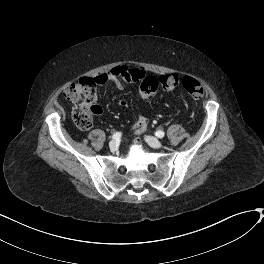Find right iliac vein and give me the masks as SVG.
<instances>
[{
  "instance_id": "right-iliac-vein-1",
  "label": "right iliac vein",
  "mask_w": 264,
  "mask_h": 264,
  "mask_svg": "<svg viewBox=\"0 0 264 264\" xmlns=\"http://www.w3.org/2000/svg\"><path fill=\"white\" fill-rule=\"evenodd\" d=\"M109 147L111 150H116V147H117V144H116V141L115 140H112L109 142Z\"/></svg>"
}]
</instances>
